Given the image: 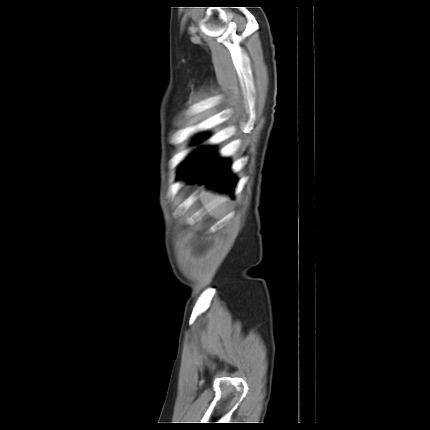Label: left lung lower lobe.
Returning <instances> with one entry per match:
<instances>
[{
    "instance_id": "left-lung-lower-lobe-1",
    "label": "left lung lower lobe",
    "mask_w": 430,
    "mask_h": 430,
    "mask_svg": "<svg viewBox=\"0 0 430 430\" xmlns=\"http://www.w3.org/2000/svg\"><path fill=\"white\" fill-rule=\"evenodd\" d=\"M229 164L226 160H218L214 156L213 148L203 149L193 154L182 165L178 179L186 178L189 181L209 182V186L232 193L235 180L229 176Z\"/></svg>"
}]
</instances>
